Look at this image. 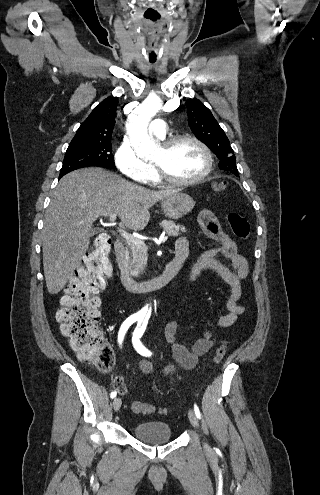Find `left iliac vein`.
<instances>
[{
	"label": "left iliac vein",
	"instance_id": "1",
	"mask_svg": "<svg viewBox=\"0 0 320 495\" xmlns=\"http://www.w3.org/2000/svg\"><path fill=\"white\" fill-rule=\"evenodd\" d=\"M188 417H189V420H190L192 426L198 429L199 428V421L197 419L195 412L192 409L189 410ZM204 448L209 449V445L207 443H204Z\"/></svg>",
	"mask_w": 320,
	"mask_h": 495
}]
</instances>
